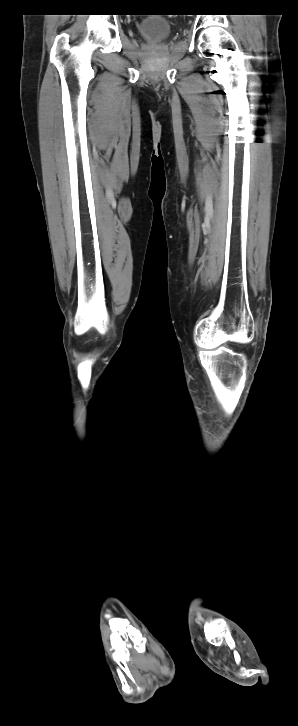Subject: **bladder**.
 <instances>
[{
  "label": "bladder",
  "instance_id": "31cf9c89",
  "mask_svg": "<svg viewBox=\"0 0 298 726\" xmlns=\"http://www.w3.org/2000/svg\"><path fill=\"white\" fill-rule=\"evenodd\" d=\"M139 34L149 41L161 42L171 34V23L158 15H148L138 23Z\"/></svg>",
  "mask_w": 298,
  "mask_h": 726
}]
</instances>
